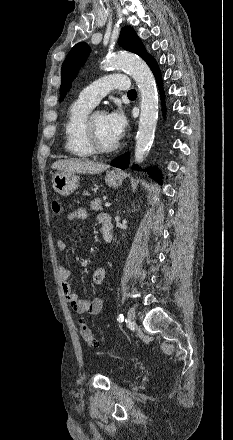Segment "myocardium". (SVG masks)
<instances>
[{
	"label": "myocardium",
	"mask_w": 233,
	"mask_h": 440,
	"mask_svg": "<svg viewBox=\"0 0 233 440\" xmlns=\"http://www.w3.org/2000/svg\"><path fill=\"white\" fill-rule=\"evenodd\" d=\"M99 113H104V112L101 110L90 112L85 120L84 133H85L86 141L94 153H98V154L113 153L119 149L121 143L118 140L115 143L108 146L100 143L94 127V118Z\"/></svg>",
	"instance_id": "obj_1"
}]
</instances>
